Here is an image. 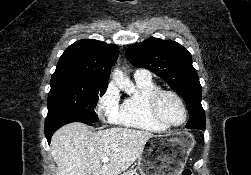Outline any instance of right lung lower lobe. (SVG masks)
Returning <instances> with one entry per match:
<instances>
[{
    "label": "right lung lower lobe",
    "mask_w": 251,
    "mask_h": 175,
    "mask_svg": "<svg viewBox=\"0 0 251 175\" xmlns=\"http://www.w3.org/2000/svg\"><path fill=\"white\" fill-rule=\"evenodd\" d=\"M84 119L78 116H65L61 118H55L52 120H46L45 121V136L48 140V143H50L51 137L53 133L59 129L61 126L71 123V122H82L84 123ZM94 123H90V125H93Z\"/></svg>",
    "instance_id": "right-lung-lower-lobe-1"
}]
</instances>
